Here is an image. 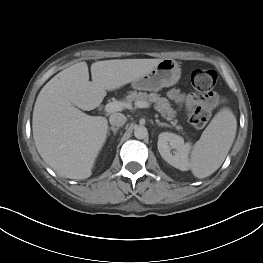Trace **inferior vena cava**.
<instances>
[{
    "mask_svg": "<svg viewBox=\"0 0 263 263\" xmlns=\"http://www.w3.org/2000/svg\"><path fill=\"white\" fill-rule=\"evenodd\" d=\"M127 118L122 113H114L109 117V122L112 126L121 127L126 123Z\"/></svg>",
    "mask_w": 263,
    "mask_h": 263,
    "instance_id": "602c4592",
    "label": "inferior vena cava"
}]
</instances>
